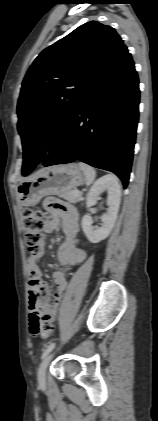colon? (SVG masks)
<instances>
[{
  "label": "colon",
  "mask_w": 158,
  "mask_h": 421,
  "mask_svg": "<svg viewBox=\"0 0 158 421\" xmlns=\"http://www.w3.org/2000/svg\"><path fill=\"white\" fill-rule=\"evenodd\" d=\"M22 216L26 245L30 253L33 254L37 251L44 239L43 231L46 227L45 216L42 211L31 208H24ZM51 331V324L45 322L35 329V334L46 337L49 336Z\"/></svg>",
  "instance_id": "obj_1"
}]
</instances>
